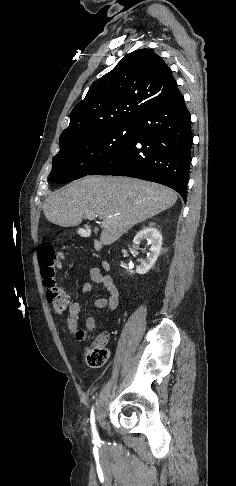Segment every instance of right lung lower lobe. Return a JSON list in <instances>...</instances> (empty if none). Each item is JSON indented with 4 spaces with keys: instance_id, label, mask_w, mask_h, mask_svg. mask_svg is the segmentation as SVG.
Segmentation results:
<instances>
[{
    "instance_id": "1",
    "label": "right lung lower lobe",
    "mask_w": 236,
    "mask_h": 486,
    "mask_svg": "<svg viewBox=\"0 0 236 486\" xmlns=\"http://www.w3.org/2000/svg\"><path fill=\"white\" fill-rule=\"evenodd\" d=\"M135 124L134 140L89 175L157 182L176 190L186 201L193 135L184 97L149 109Z\"/></svg>"
}]
</instances>
